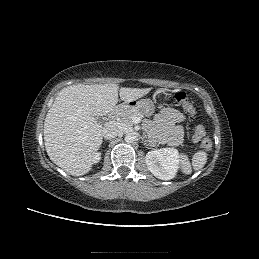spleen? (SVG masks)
I'll return each mask as SVG.
<instances>
[{
  "instance_id": "1",
  "label": "spleen",
  "mask_w": 259,
  "mask_h": 259,
  "mask_svg": "<svg viewBox=\"0 0 259 259\" xmlns=\"http://www.w3.org/2000/svg\"><path fill=\"white\" fill-rule=\"evenodd\" d=\"M207 162V153L205 151H198L193 155L192 166L195 170H199ZM181 169L184 174L191 173V164L187 159V156L183 155L181 160Z\"/></svg>"
}]
</instances>
